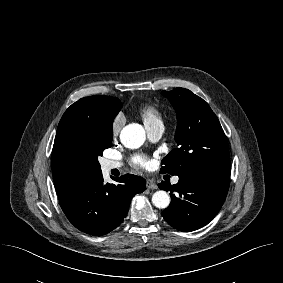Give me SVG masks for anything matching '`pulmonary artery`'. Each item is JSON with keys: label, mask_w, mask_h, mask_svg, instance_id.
<instances>
[{"label": "pulmonary artery", "mask_w": 283, "mask_h": 283, "mask_svg": "<svg viewBox=\"0 0 283 283\" xmlns=\"http://www.w3.org/2000/svg\"><path fill=\"white\" fill-rule=\"evenodd\" d=\"M146 131H147L148 138L152 142H155V141H158L161 138L163 131H164V127H163V125L158 124V125L146 127ZM121 166H122V164L120 162L111 161V160L104 161L103 165H102L103 170L107 171V172L111 171L113 169H118ZM178 181H179L178 177H174L172 179V183H174V184H176Z\"/></svg>", "instance_id": "pulmonary-artery-1"}]
</instances>
